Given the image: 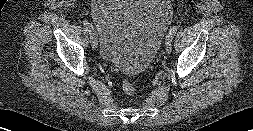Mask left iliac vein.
<instances>
[{
    "mask_svg": "<svg viewBox=\"0 0 253 131\" xmlns=\"http://www.w3.org/2000/svg\"><path fill=\"white\" fill-rule=\"evenodd\" d=\"M173 35L167 34L166 41H165V50L167 53H170L172 50V40Z\"/></svg>",
    "mask_w": 253,
    "mask_h": 131,
    "instance_id": "1",
    "label": "left iliac vein"
}]
</instances>
